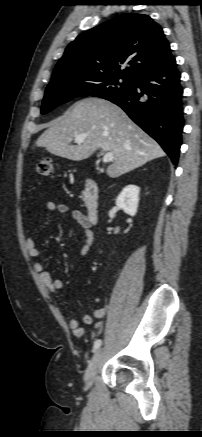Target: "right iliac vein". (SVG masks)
<instances>
[{"label": "right iliac vein", "mask_w": 202, "mask_h": 437, "mask_svg": "<svg viewBox=\"0 0 202 437\" xmlns=\"http://www.w3.org/2000/svg\"><path fill=\"white\" fill-rule=\"evenodd\" d=\"M101 356H102V351H101V349H98L89 362V365H88L87 370H86L85 375H84V381H85L86 387H90L94 381V377H95L97 368H98L100 361H101Z\"/></svg>", "instance_id": "63e3f726"}]
</instances>
